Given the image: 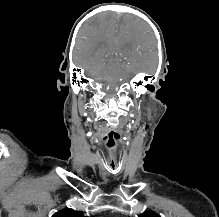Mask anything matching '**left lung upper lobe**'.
Returning a JSON list of instances; mask_svg holds the SVG:
<instances>
[{"mask_svg":"<svg viewBox=\"0 0 219 217\" xmlns=\"http://www.w3.org/2000/svg\"><path fill=\"white\" fill-rule=\"evenodd\" d=\"M139 217H160V215L154 211H147L142 213Z\"/></svg>","mask_w":219,"mask_h":217,"instance_id":"obj_1","label":"left lung upper lobe"}]
</instances>
